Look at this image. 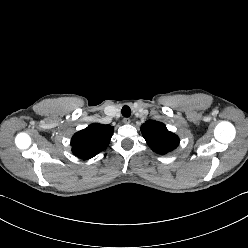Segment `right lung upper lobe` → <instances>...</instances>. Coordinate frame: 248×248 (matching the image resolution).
Wrapping results in <instances>:
<instances>
[{"instance_id":"obj_1","label":"right lung upper lobe","mask_w":248,"mask_h":248,"mask_svg":"<svg viewBox=\"0 0 248 248\" xmlns=\"http://www.w3.org/2000/svg\"><path fill=\"white\" fill-rule=\"evenodd\" d=\"M114 128L110 125L93 123L84 130L75 133L71 139L72 152L82 159H90L110 142Z\"/></svg>"}]
</instances>
